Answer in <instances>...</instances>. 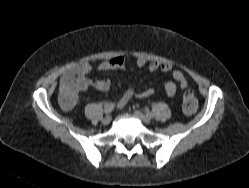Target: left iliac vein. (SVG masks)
I'll use <instances>...</instances> for the list:
<instances>
[{"label": "left iliac vein", "instance_id": "left-iliac-vein-1", "mask_svg": "<svg viewBox=\"0 0 249 188\" xmlns=\"http://www.w3.org/2000/svg\"><path fill=\"white\" fill-rule=\"evenodd\" d=\"M135 116L138 117L140 120H142L146 124L151 123V118L148 115L143 114L140 111H135L134 112Z\"/></svg>", "mask_w": 249, "mask_h": 188}]
</instances>
